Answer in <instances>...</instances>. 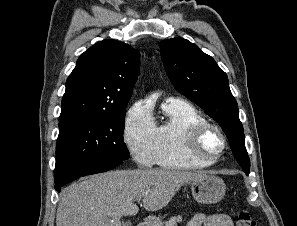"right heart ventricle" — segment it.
I'll use <instances>...</instances> for the list:
<instances>
[{"instance_id": "e07e8e85", "label": "right heart ventricle", "mask_w": 297, "mask_h": 226, "mask_svg": "<svg viewBox=\"0 0 297 226\" xmlns=\"http://www.w3.org/2000/svg\"><path fill=\"white\" fill-rule=\"evenodd\" d=\"M163 120L156 124V163L171 169H199L208 165L191 158L185 146L187 132L194 125L207 122L191 103L177 98L162 104Z\"/></svg>"}]
</instances>
